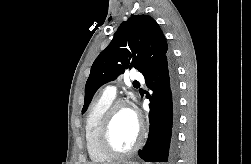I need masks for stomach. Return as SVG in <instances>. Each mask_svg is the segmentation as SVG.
Returning a JSON list of instances; mask_svg holds the SVG:
<instances>
[{"label":"stomach","instance_id":"stomach-1","mask_svg":"<svg viewBox=\"0 0 251 164\" xmlns=\"http://www.w3.org/2000/svg\"><path fill=\"white\" fill-rule=\"evenodd\" d=\"M123 164H139L137 162H124Z\"/></svg>","mask_w":251,"mask_h":164}]
</instances>
